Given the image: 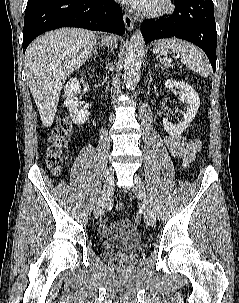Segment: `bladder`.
Returning <instances> with one entry per match:
<instances>
[{"label":"bladder","instance_id":"bladder-1","mask_svg":"<svg viewBox=\"0 0 239 303\" xmlns=\"http://www.w3.org/2000/svg\"><path fill=\"white\" fill-rule=\"evenodd\" d=\"M141 244V237L138 233H126L103 241V246L108 251H132Z\"/></svg>","mask_w":239,"mask_h":303}]
</instances>
